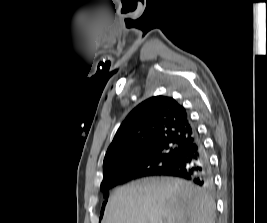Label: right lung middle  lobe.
<instances>
[{
  "label": "right lung middle lobe",
  "instance_id": "1",
  "mask_svg": "<svg viewBox=\"0 0 267 223\" xmlns=\"http://www.w3.org/2000/svg\"><path fill=\"white\" fill-rule=\"evenodd\" d=\"M181 152L182 151L175 146H162L156 152L148 155L143 160H137L133 166L139 172L155 174L167 169L179 157ZM108 196L109 193L105 192V203L108 200ZM104 206L105 204H103V208Z\"/></svg>",
  "mask_w": 267,
  "mask_h": 223
}]
</instances>
